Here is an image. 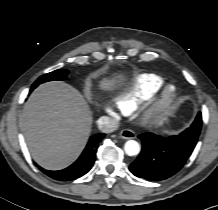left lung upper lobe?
<instances>
[{
  "label": "left lung upper lobe",
  "instance_id": "1",
  "mask_svg": "<svg viewBox=\"0 0 218 210\" xmlns=\"http://www.w3.org/2000/svg\"><path fill=\"white\" fill-rule=\"evenodd\" d=\"M201 125H202V116L201 113L199 112L191 127L188 128L186 131L187 132L196 131L197 133H200Z\"/></svg>",
  "mask_w": 218,
  "mask_h": 210
}]
</instances>
